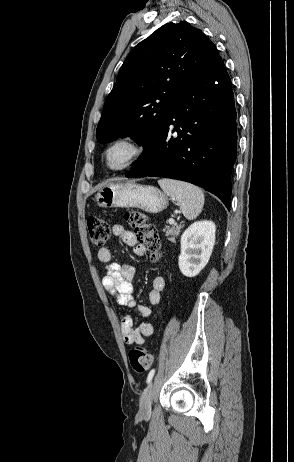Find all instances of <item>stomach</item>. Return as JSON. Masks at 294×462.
I'll list each match as a JSON object with an SVG mask.
<instances>
[{
    "label": "stomach",
    "mask_w": 294,
    "mask_h": 462,
    "mask_svg": "<svg viewBox=\"0 0 294 462\" xmlns=\"http://www.w3.org/2000/svg\"><path fill=\"white\" fill-rule=\"evenodd\" d=\"M96 200L100 207L139 208L153 214L168 206L167 196L159 189L134 182L108 184L99 190Z\"/></svg>",
    "instance_id": "obj_1"
}]
</instances>
